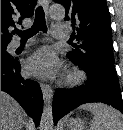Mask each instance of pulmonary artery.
Masks as SVG:
<instances>
[{"label":"pulmonary artery","instance_id":"pulmonary-artery-1","mask_svg":"<svg viewBox=\"0 0 123 130\" xmlns=\"http://www.w3.org/2000/svg\"><path fill=\"white\" fill-rule=\"evenodd\" d=\"M52 36L56 39H64L68 36L67 27L63 24H54L52 27ZM20 46L18 41H15L11 44L13 49H16Z\"/></svg>","mask_w":123,"mask_h":130}]
</instances>
